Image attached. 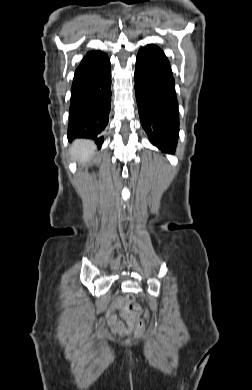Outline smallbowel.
I'll list each match as a JSON object with an SVG mask.
<instances>
[{"mask_svg": "<svg viewBox=\"0 0 252 390\" xmlns=\"http://www.w3.org/2000/svg\"><path fill=\"white\" fill-rule=\"evenodd\" d=\"M108 325L114 332H129L133 328V321L125 309L123 298H117L110 307L107 317Z\"/></svg>", "mask_w": 252, "mask_h": 390, "instance_id": "small-bowel-1", "label": "small bowel"}]
</instances>
